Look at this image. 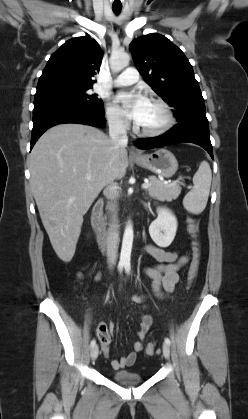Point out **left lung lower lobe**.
Returning <instances> with one entry per match:
<instances>
[{"instance_id": "obj_1", "label": "left lung lower lobe", "mask_w": 248, "mask_h": 419, "mask_svg": "<svg viewBox=\"0 0 248 419\" xmlns=\"http://www.w3.org/2000/svg\"><path fill=\"white\" fill-rule=\"evenodd\" d=\"M179 123L167 133L153 138L135 141L140 149H151L169 144L190 142L203 147L213 158L209 137V124L205 111H194L178 119Z\"/></svg>"}]
</instances>
